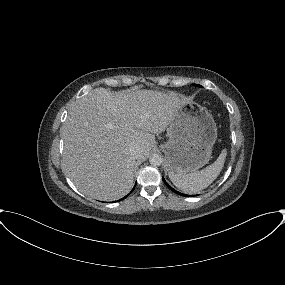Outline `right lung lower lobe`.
<instances>
[{
  "instance_id": "obj_1",
  "label": "right lung lower lobe",
  "mask_w": 285,
  "mask_h": 285,
  "mask_svg": "<svg viewBox=\"0 0 285 285\" xmlns=\"http://www.w3.org/2000/svg\"><path fill=\"white\" fill-rule=\"evenodd\" d=\"M133 190H134V188H133ZM133 190H132V191H133ZM127 196H128V195H127ZM127 196H126V197H127ZM123 199H125V197H124V198H122V199H120V200H123ZM120 200H119V201H120Z\"/></svg>"
}]
</instances>
